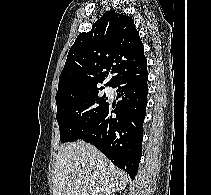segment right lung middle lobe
Returning a JSON list of instances; mask_svg holds the SVG:
<instances>
[{"instance_id": "dd1d6c3e", "label": "right lung middle lobe", "mask_w": 211, "mask_h": 195, "mask_svg": "<svg viewBox=\"0 0 211 195\" xmlns=\"http://www.w3.org/2000/svg\"><path fill=\"white\" fill-rule=\"evenodd\" d=\"M106 95L94 90L71 98L57 105V122L60 129V141L79 140L97 121L109 104Z\"/></svg>"}]
</instances>
